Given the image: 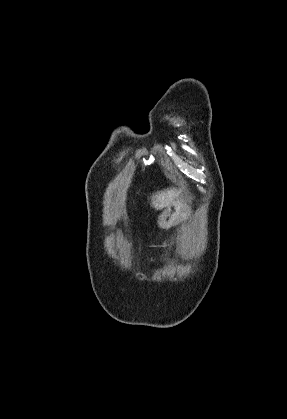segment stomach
Wrapping results in <instances>:
<instances>
[{
    "instance_id": "0dacf381",
    "label": "stomach",
    "mask_w": 287,
    "mask_h": 419,
    "mask_svg": "<svg viewBox=\"0 0 287 419\" xmlns=\"http://www.w3.org/2000/svg\"><path fill=\"white\" fill-rule=\"evenodd\" d=\"M185 213V206L182 199L174 200L162 213L158 220L161 227H169L174 221L183 216Z\"/></svg>"
}]
</instances>
